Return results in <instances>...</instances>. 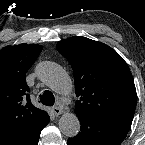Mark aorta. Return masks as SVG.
<instances>
[{
	"instance_id": "obj_1",
	"label": "aorta",
	"mask_w": 145,
	"mask_h": 145,
	"mask_svg": "<svg viewBox=\"0 0 145 145\" xmlns=\"http://www.w3.org/2000/svg\"><path fill=\"white\" fill-rule=\"evenodd\" d=\"M37 75L58 94H67L72 87L67 74L54 62H42L37 68ZM80 127V121L74 113H64L59 120L60 131L67 137H75L79 133Z\"/></svg>"
}]
</instances>
